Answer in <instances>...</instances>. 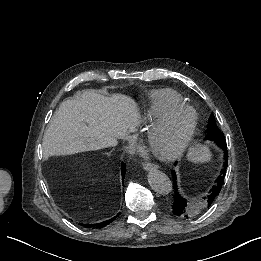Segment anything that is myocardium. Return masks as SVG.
<instances>
[{
  "mask_svg": "<svg viewBox=\"0 0 261 261\" xmlns=\"http://www.w3.org/2000/svg\"><path fill=\"white\" fill-rule=\"evenodd\" d=\"M175 112H185L189 115V124L183 142L176 150L170 153H166V154L154 153L149 149L147 145V137L151 128L157 123H159L160 121H162L164 118H166L167 116ZM197 123H198V115L192 107L187 105H171L166 107L159 113L144 117L139 123V134L141 140L143 141L144 145L146 146L151 156L161 161H173L181 157L188 149L192 141V138L194 136Z\"/></svg>",
  "mask_w": 261,
  "mask_h": 261,
  "instance_id": "myocardium-1",
  "label": "myocardium"
}]
</instances>
